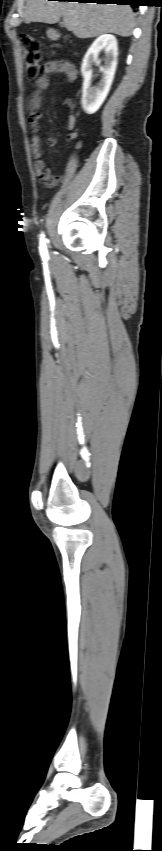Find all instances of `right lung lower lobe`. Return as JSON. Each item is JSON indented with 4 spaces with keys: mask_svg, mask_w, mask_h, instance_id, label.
Returning <instances> with one entry per match:
<instances>
[{
    "mask_svg": "<svg viewBox=\"0 0 162 851\" xmlns=\"http://www.w3.org/2000/svg\"><path fill=\"white\" fill-rule=\"evenodd\" d=\"M71 1V0H59ZM78 2L98 3V4H117V5H135L138 6L139 0H74Z\"/></svg>",
    "mask_w": 162,
    "mask_h": 851,
    "instance_id": "obj_1",
    "label": "right lung lower lobe"
}]
</instances>
